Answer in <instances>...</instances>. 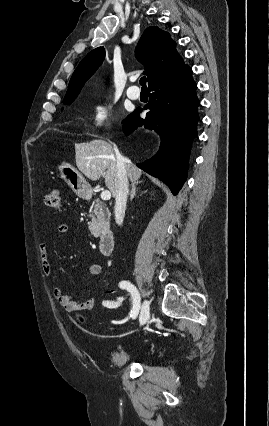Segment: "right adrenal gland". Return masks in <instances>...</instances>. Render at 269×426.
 <instances>
[{
    "instance_id": "right-adrenal-gland-1",
    "label": "right adrenal gland",
    "mask_w": 269,
    "mask_h": 426,
    "mask_svg": "<svg viewBox=\"0 0 269 426\" xmlns=\"http://www.w3.org/2000/svg\"><path fill=\"white\" fill-rule=\"evenodd\" d=\"M131 186H132V189H131V192H130V200L132 201L136 196L137 184H132ZM146 192H147V190L141 192L140 195H142L143 193H146Z\"/></svg>"
}]
</instances>
